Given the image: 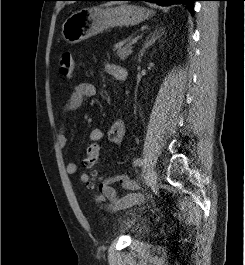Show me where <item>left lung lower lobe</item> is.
Returning a JSON list of instances; mask_svg holds the SVG:
<instances>
[{"label":"left lung lower lobe","mask_w":245,"mask_h":265,"mask_svg":"<svg viewBox=\"0 0 245 265\" xmlns=\"http://www.w3.org/2000/svg\"><path fill=\"white\" fill-rule=\"evenodd\" d=\"M89 1H112V0H89ZM119 1H147L151 3H157L158 5L162 6H169L173 4H184L187 5L190 12L193 13L194 10L193 1H198V0H119Z\"/></svg>","instance_id":"1"}]
</instances>
